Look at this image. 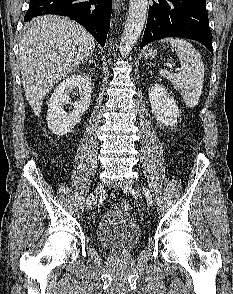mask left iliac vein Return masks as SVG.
Here are the masks:
<instances>
[{
    "instance_id": "4c4485c4",
    "label": "left iliac vein",
    "mask_w": 233,
    "mask_h": 294,
    "mask_svg": "<svg viewBox=\"0 0 233 294\" xmlns=\"http://www.w3.org/2000/svg\"><path fill=\"white\" fill-rule=\"evenodd\" d=\"M122 189H123L125 192L133 191V192L136 194V197H137V198H140V201H141V202H144V201H145V198L143 197V194L141 193V191H140L138 188H134V189H132L128 184H126V185H123V186H122Z\"/></svg>"
}]
</instances>
